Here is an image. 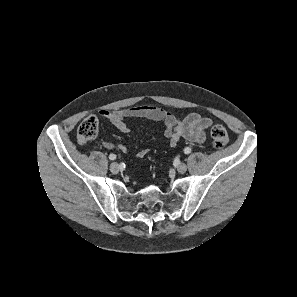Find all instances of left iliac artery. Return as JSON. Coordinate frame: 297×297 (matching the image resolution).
<instances>
[{
  "label": "left iliac artery",
  "mask_w": 297,
  "mask_h": 297,
  "mask_svg": "<svg viewBox=\"0 0 297 297\" xmlns=\"http://www.w3.org/2000/svg\"><path fill=\"white\" fill-rule=\"evenodd\" d=\"M184 153H185V154H189V153H191V148L186 147V148L184 149Z\"/></svg>",
  "instance_id": "1"
}]
</instances>
